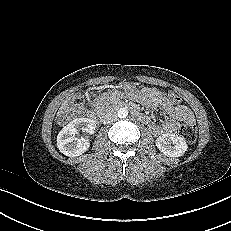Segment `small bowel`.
Listing matches in <instances>:
<instances>
[{
	"instance_id": "c3829d8e",
	"label": "small bowel",
	"mask_w": 231,
	"mask_h": 231,
	"mask_svg": "<svg viewBox=\"0 0 231 231\" xmlns=\"http://www.w3.org/2000/svg\"><path fill=\"white\" fill-rule=\"evenodd\" d=\"M110 94L103 93L94 99V105L98 106L104 100L109 98ZM131 97L150 109H163L167 113V118L160 124L151 122L146 116H143V122L148 124L155 135L175 132L180 122L194 123L192 111L182 105L173 104L158 89L153 87L143 88L140 91L131 94Z\"/></svg>"
}]
</instances>
